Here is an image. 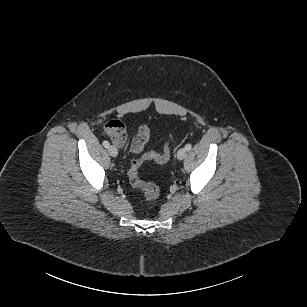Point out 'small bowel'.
I'll return each instance as SVG.
<instances>
[{
    "instance_id": "c3829d8e",
    "label": "small bowel",
    "mask_w": 307,
    "mask_h": 307,
    "mask_svg": "<svg viewBox=\"0 0 307 307\" xmlns=\"http://www.w3.org/2000/svg\"><path fill=\"white\" fill-rule=\"evenodd\" d=\"M106 135L118 146L124 147L127 142L126 124L119 119L109 120L104 127ZM149 138V128L147 125H142L139 128L137 135L133 138L130 151L134 154H139Z\"/></svg>"
}]
</instances>
